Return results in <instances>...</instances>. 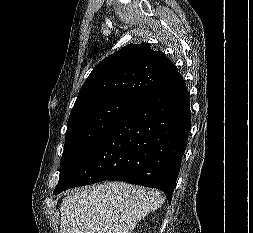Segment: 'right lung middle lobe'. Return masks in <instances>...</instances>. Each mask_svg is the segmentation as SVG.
<instances>
[{
  "label": "right lung middle lobe",
  "mask_w": 253,
  "mask_h": 233,
  "mask_svg": "<svg viewBox=\"0 0 253 233\" xmlns=\"http://www.w3.org/2000/svg\"><path fill=\"white\" fill-rule=\"evenodd\" d=\"M134 99L111 97L71 111L61 158V181L126 114Z\"/></svg>",
  "instance_id": "right-lung-middle-lobe-1"
}]
</instances>
